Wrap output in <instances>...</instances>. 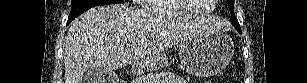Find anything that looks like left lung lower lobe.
I'll list each match as a JSON object with an SVG mask.
<instances>
[{
	"instance_id": "obj_1",
	"label": "left lung lower lobe",
	"mask_w": 307,
	"mask_h": 83,
	"mask_svg": "<svg viewBox=\"0 0 307 83\" xmlns=\"http://www.w3.org/2000/svg\"><path fill=\"white\" fill-rule=\"evenodd\" d=\"M241 33V28H236Z\"/></svg>"
}]
</instances>
